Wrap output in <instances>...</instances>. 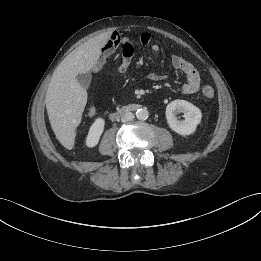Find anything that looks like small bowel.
Returning a JSON list of instances; mask_svg holds the SVG:
<instances>
[{
	"label": "small bowel",
	"mask_w": 261,
	"mask_h": 261,
	"mask_svg": "<svg viewBox=\"0 0 261 261\" xmlns=\"http://www.w3.org/2000/svg\"><path fill=\"white\" fill-rule=\"evenodd\" d=\"M139 43L145 48H149L153 52H159L160 46L153 42L152 35L149 32H142L139 36ZM121 49V63L118 67V74L123 75L127 72L131 65L133 56L136 51V43L131 39L121 37L118 34H112L106 41L100 59V64L104 63L116 49ZM174 70L183 73L186 77V83L182 86V93L184 95L196 94L200 89V74L198 70L186 59L180 55H172L170 59ZM166 78L165 75L159 73H151L150 79L153 81H161ZM95 108H91L89 114H95Z\"/></svg>",
	"instance_id": "1"
}]
</instances>
